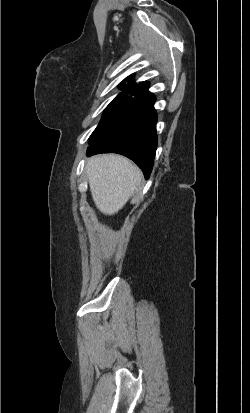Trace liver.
Listing matches in <instances>:
<instances>
[{"instance_id":"6515ba94","label":"liver","mask_w":250,"mask_h":413,"mask_svg":"<svg viewBox=\"0 0 250 413\" xmlns=\"http://www.w3.org/2000/svg\"><path fill=\"white\" fill-rule=\"evenodd\" d=\"M86 172L93 201L105 215L117 213L137 190L142 179L140 169L117 154L89 158Z\"/></svg>"}]
</instances>
